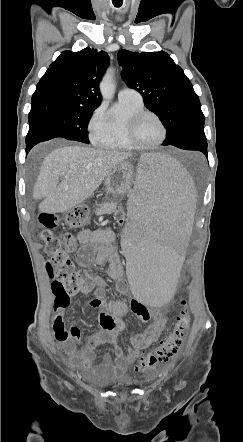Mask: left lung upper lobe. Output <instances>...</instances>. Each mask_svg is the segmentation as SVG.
Here are the masks:
<instances>
[{"label":"left lung upper lobe","instance_id":"left-lung-upper-lobe-1","mask_svg":"<svg viewBox=\"0 0 243 442\" xmlns=\"http://www.w3.org/2000/svg\"><path fill=\"white\" fill-rule=\"evenodd\" d=\"M118 60L123 67V79L143 96L145 106L159 116L166 128L164 146L190 128L204 124L199 98L169 54L120 50Z\"/></svg>","mask_w":243,"mask_h":442}]
</instances>
